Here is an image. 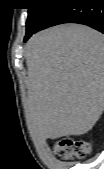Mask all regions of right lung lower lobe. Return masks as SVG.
<instances>
[{"instance_id": "98d812e1", "label": "right lung lower lobe", "mask_w": 104, "mask_h": 169, "mask_svg": "<svg viewBox=\"0 0 104 169\" xmlns=\"http://www.w3.org/2000/svg\"><path fill=\"white\" fill-rule=\"evenodd\" d=\"M55 10L35 30L26 34L24 41L35 32L63 23L88 25L104 33V0H55Z\"/></svg>"}]
</instances>
